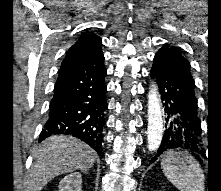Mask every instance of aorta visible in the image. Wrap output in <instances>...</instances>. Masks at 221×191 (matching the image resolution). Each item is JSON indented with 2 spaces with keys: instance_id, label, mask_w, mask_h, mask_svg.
I'll return each mask as SVG.
<instances>
[{
  "instance_id": "aorta-1",
  "label": "aorta",
  "mask_w": 221,
  "mask_h": 191,
  "mask_svg": "<svg viewBox=\"0 0 221 191\" xmlns=\"http://www.w3.org/2000/svg\"><path fill=\"white\" fill-rule=\"evenodd\" d=\"M163 119L158 86L152 83L148 93V149L156 151L162 141Z\"/></svg>"
}]
</instances>
